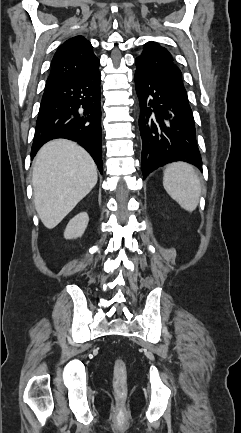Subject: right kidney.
Masks as SVG:
<instances>
[{
	"label": "right kidney",
	"mask_w": 241,
	"mask_h": 433,
	"mask_svg": "<svg viewBox=\"0 0 241 433\" xmlns=\"http://www.w3.org/2000/svg\"><path fill=\"white\" fill-rule=\"evenodd\" d=\"M89 222V216L86 212H80L73 217L66 226L64 231L65 239H76L81 237Z\"/></svg>",
	"instance_id": "right-kidney-1"
}]
</instances>
